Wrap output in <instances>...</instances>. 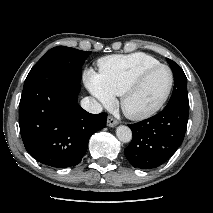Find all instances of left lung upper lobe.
<instances>
[{"label": "left lung upper lobe", "mask_w": 213, "mask_h": 213, "mask_svg": "<svg viewBox=\"0 0 213 213\" xmlns=\"http://www.w3.org/2000/svg\"><path fill=\"white\" fill-rule=\"evenodd\" d=\"M174 74V88L169 102L179 101L189 104L187 93V78L182 68L174 61L167 59Z\"/></svg>", "instance_id": "left-lung-upper-lobe-1"}]
</instances>
